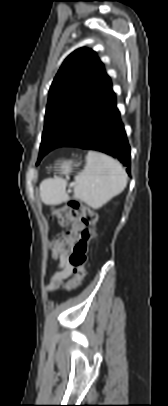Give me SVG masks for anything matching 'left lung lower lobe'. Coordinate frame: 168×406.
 Wrapping results in <instances>:
<instances>
[{"label":"left lung lower lobe","mask_w":168,"mask_h":406,"mask_svg":"<svg viewBox=\"0 0 168 406\" xmlns=\"http://www.w3.org/2000/svg\"><path fill=\"white\" fill-rule=\"evenodd\" d=\"M62 146L97 150L112 155L128 166L126 171L130 175V146L111 86L93 108L82 128Z\"/></svg>","instance_id":"0a47b994"}]
</instances>
